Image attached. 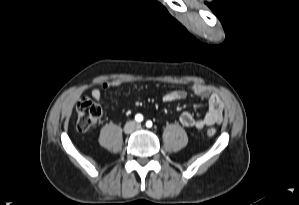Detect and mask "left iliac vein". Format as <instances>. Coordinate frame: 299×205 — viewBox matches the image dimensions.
Segmentation results:
<instances>
[{"label": "left iliac vein", "mask_w": 299, "mask_h": 205, "mask_svg": "<svg viewBox=\"0 0 299 205\" xmlns=\"http://www.w3.org/2000/svg\"><path fill=\"white\" fill-rule=\"evenodd\" d=\"M141 127H142L141 124L136 125V129H141Z\"/></svg>", "instance_id": "4c4485c4"}]
</instances>
